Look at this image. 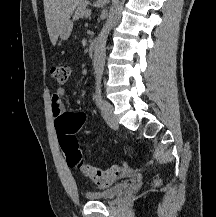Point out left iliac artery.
Returning <instances> with one entry per match:
<instances>
[{
    "label": "left iliac artery",
    "instance_id": "44dca946",
    "mask_svg": "<svg viewBox=\"0 0 216 217\" xmlns=\"http://www.w3.org/2000/svg\"><path fill=\"white\" fill-rule=\"evenodd\" d=\"M101 75L96 77L95 101L98 107L102 104Z\"/></svg>",
    "mask_w": 216,
    "mask_h": 217
}]
</instances>
